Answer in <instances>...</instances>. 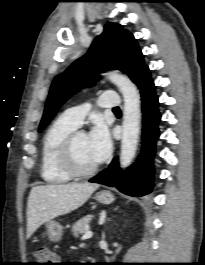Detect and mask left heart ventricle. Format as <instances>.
<instances>
[{
	"instance_id": "b2bd125f",
	"label": "left heart ventricle",
	"mask_w": 205,
	"mask_h": 265,
	"mask_svg": "<svg viewBox=\"0 0 205 265\" xmlns=\"http://www.w3.org/2000/svg\"><path fill=\"white\" fill-rule=\"evenodd\" d=\"M74 159L77 166L82 169H88L97 164L91 153L86 134L78 136L75 141Z\"/></svg>"
}]
</instances>
